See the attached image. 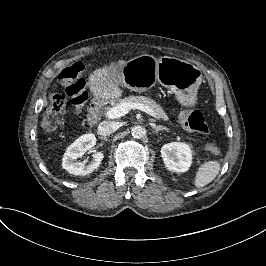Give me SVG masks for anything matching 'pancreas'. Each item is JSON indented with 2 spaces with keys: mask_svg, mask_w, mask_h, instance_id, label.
<instances>
[{
  "mask_svg": "<svg viewBox=\"0 0 266 266\" xmlns=\"http://www.w3.org/2000/svg\"><path fill=\"white\" fill-rule=\"evenodd\" d=\"M125 101H128L130 103H140L145 106H150L156 112V114L163 120V122L169 121L167 113L158 103L153 101L151 98H147L145 96H131L128 97Z\"/></svg>",
  "mask_w": 266,
  "mask_h": 266,
  "instance_id": "1",
  "label": "pancreas"
}]
</instances>
